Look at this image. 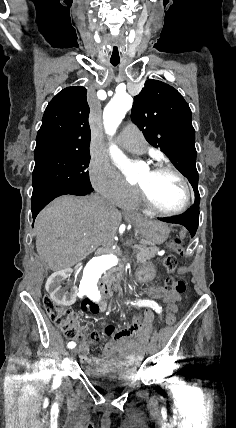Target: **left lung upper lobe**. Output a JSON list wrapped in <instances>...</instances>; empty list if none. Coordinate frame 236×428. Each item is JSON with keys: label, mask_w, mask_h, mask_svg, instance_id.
I'll list each match as a JSON object with an SVG mask.
<instances>
[{"label": "left lung upper lobe", "mask_w": 236, "mask_h": 428, "mask_svg": "<svg viewBox=\"0 0 236 428\" xmlns=\"http://www.w3.org/2000/svg\"><path fill=\"white\" fill-rule=\"evenodd\" d=\"M131 119L146 140L160 148L198 192L195 131L191 110L172 86L150 79L134 99Z\"/></svg>", "instance_id": "left-lung-upper-lobe-1"}]
</instances>
